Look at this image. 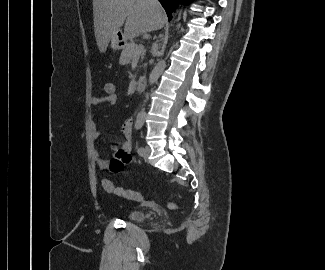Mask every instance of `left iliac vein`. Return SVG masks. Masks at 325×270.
Instances as JSON below:
<instances>
[{
  "label": "left iliac vein",
  "mask_w": 325,
  "mask_h": 270,
  "mask_svg": "<svg viewBox=\"0 0 325 270\" xmlns=\"http://www.w3.org/2000/svg\"><path fill=\"white\" fill-rule=\"evenodd\" d=\"M150 152H151L150 148H149L148 146H145V147H144V150H143V153L141 154V156H142L145 160H147V159H148V156H149V154H150Z\"/></svg>",
  "instance_id": "left-iliac-vein-1"
}]
</instances>
